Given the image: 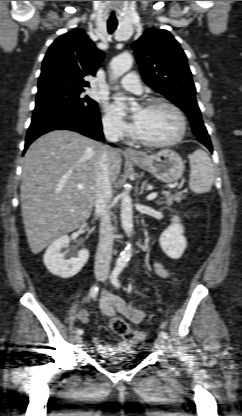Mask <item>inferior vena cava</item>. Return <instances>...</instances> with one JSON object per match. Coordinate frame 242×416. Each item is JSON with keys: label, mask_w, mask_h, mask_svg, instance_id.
Segmentation results:
<instances>
[{"label": "inferior vena cava", "mask_w": 242, "mask_h": 416, "mask_svg": "<svg viewBox=\"0 0 242 416\" xmlns=\"http://www.w3.org/2000/svg\"><path fill=\"white\" fill-rule=\"evenodd\" d=\"M103 132L108 142L116 143L118 141L119 131L111 122L103 121ZM113 150L115 149L107 145L103 146L97 164L94 199L95 212L100 218V237L95 258V270L106 273L109 271L114 241L110 211L112 187L109 177L110 155Z\"/></svg>", "instance_id": "inferior-vena-cava-1"}]
</instances>
